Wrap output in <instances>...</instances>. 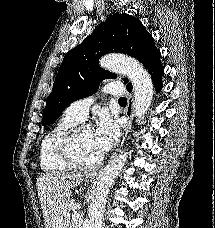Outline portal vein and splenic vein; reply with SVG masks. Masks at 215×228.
<instances>
[{
  "instance_id": "obj_1",
  "label": "portal vein and splenic vein",
  "mask_w": 215,
  "mask_h": 228,
  "mask_svg": "<svg viewBox=\"0 0 215 228\" xmlns=\"http://www.w3.org/2000/svg\"><path fill=\"white\" fill-rule=\"evenodd\" d=\"M72 220H75V222H79V220H81V216H79V214H73Z\"/></svg>"
}]
</instances>
